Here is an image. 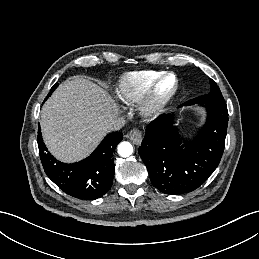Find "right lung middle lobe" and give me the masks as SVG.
<instances>
[{
	"instance_id": "obj_1",
	"label": "right lung middle lobe",
	"mask_w": 259,
	"mask_h": 259,
	"mask_svg": "<svg viewBox=\"0 0 259 259\" xmlns=\"http://www.w3.org/2000/svg\"><path fill=\"white\" fill-rule=\"evenodd\" d=\"M57 86H58V83H56V84L51 88V90H50L48 96L46 97V99L52 94V92L57 88ZM46 99H45V100H46Z\"/></svg>"
}]
</instances>
